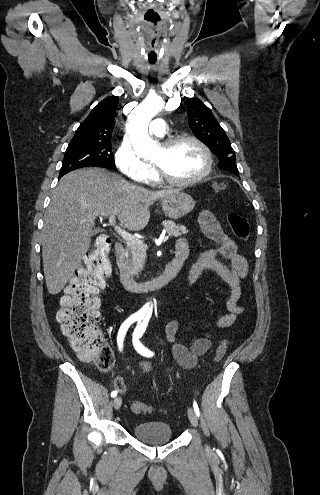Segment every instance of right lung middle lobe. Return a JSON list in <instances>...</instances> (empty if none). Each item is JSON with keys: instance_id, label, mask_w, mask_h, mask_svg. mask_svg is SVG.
<instances>
[{"instance_id": "right-lung-middle-lobe-1", "label": "right lung middle lobe", "mask_w": 320, "mask_h": 495, "mask_svg": "<svg viewBox=\"0 0 320 495\" xmlns=\"http://www.w3.org/2000/svg\"><path fill=\"white\" fill-rule=\"evenodd\" d=\"M88 166L115 169L111 143H70L64 155L59 178L72 170Z\"/></svg>"}]
</instances>
